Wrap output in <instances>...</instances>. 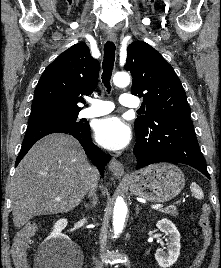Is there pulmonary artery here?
Segmentation results:
<instances>
[{
    "instance_id": "e3ab8cb5",
    "label": "pulmonary artery",
    "mask_w": 221,
    "mask_h": 268,
    "mask_svg": "<svg viewBox=\"0 0 221 268\" xmlns=\"http://www.w3.org/2000/svg\"><path fill=\"white\" fill-rule=\"evenodd\" d=\"M120 103L126 107H136L139 101L136 97L130 94H122L119 98ZM114 109V105L110 101L94 99L88 108L80 112L82 118L99 117L110 113Z\"/></svg>"
}]
</instances>
